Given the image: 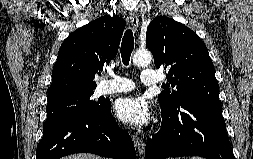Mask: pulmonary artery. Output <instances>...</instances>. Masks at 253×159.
Segmentation results:
<instances>
[{
	"mask_svg": "<svg viewBox=\"0 0 253 159\" xmlns=\"http://www.w3.org/2000/svg\"><path fill=\"white\" fill-rule=\"evenodd\" d=\"M105 77L110 78L99 85L101 95L128 92L135 87L134 82L122 77L114 72L105 73ZM162 75L156 71L144 69L141 73V81L144 85L153 86L160 83Z\"/></svg>",
	"mask_w": 253,
	"mask_h": 159,
	"instance_id": "obj_1",
	"label": "pulmonary artery"
}]
</instances>
